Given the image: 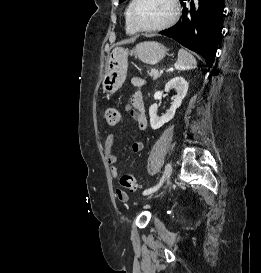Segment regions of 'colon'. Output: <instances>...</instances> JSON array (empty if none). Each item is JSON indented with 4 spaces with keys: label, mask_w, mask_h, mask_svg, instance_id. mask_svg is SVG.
Wrapping results in <instances>:
<instances>
[{
    "label": "colon",
    "mask_w": 261,
    "mask_h": 273,
    "mask_svg": "<svg viewBox=\"0 0 261 273\" xmlns=\"http://www.w3.org/2000/svg\"><path fill=\"white\" fill-rule=\"evenodd\" d=\"M104 118L108 125L115 126L119 123L120 113L116 108L107 107L104 109ZM120 185L123 189L131 192L137 191L140 186L133 174H124L120 178Z\"/></svg>",
    "instance_id": "5ec220e1"
}]
</instances>
